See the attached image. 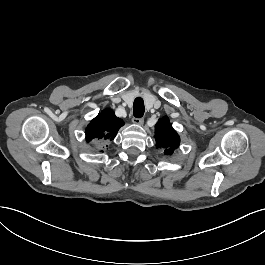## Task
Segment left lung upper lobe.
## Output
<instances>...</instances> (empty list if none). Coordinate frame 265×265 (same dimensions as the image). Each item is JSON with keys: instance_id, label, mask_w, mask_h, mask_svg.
Masks as SVG:
<instances>
[{"instance_id": "obj_1", "label": "left lung upper lobe", "mask_w": 265, "mask_h": 265, "mask_svg": "<svg viewBox=\"0 0 265 265\" xmlns=\"http://www.w3.org/2000/svg\"><path fill=\"white\" fill-rule=\"evenodd\" d=\"M155 128L156 146L163 148L165 154L171 155L179 146V135L173 129L168 117L159 119Z\"/></svg>"}]
</instances>
